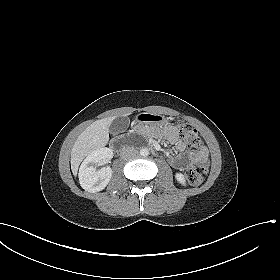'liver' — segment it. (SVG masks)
<instances>
[{"label": "liver", "mask_w": 280, "mask_h": 280, "mask_svg": "<svg viewBox=\"0 0 280 280\" xmlns=\"http://www.w3.org/2000/svg\"><path fill=\"white\" fill-rule=\"evenodd\" d=\"M115 118L116 116H112L97 120L78 136L71 150V170L74 175L87 155L108 143L109 127Z\"/></svg>", "instance_id": "1"}]
</instances>
